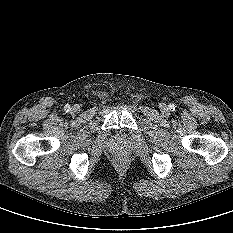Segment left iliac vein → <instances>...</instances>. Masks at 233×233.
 Instances as JSON below:
<instances>
[{
  "label": "left iliac vein",
  "instance_id": "4c4485c4",
  "mask_svg": "<svg viewBox=\"0 0 233 233\" xmlns=\"http://www.w3.org/2000/svg\"><path fill=\"white\" fill-rule=\"evenodd\" d=\"M161 110L163 111V112H167L168 111V107L166 106V105H162L161 106Z\"/></svg>",
  "mask_w": 233,
  "mask_h": 233
}]
</instances>
